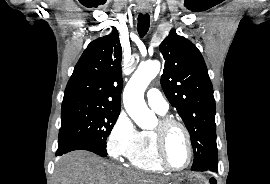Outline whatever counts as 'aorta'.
Segmentation results:
<instances>
[{"mask_svg":"<svg viewBox=\"0 0 270 184\" xmlns=\"http://www.w3.org/2000/svg\"><path fill=\"white\" fill-rule=\"evenodd\" d=\"M160 67L161 64L157 60L141 63L123 92L124 107L141 129H150L156 120L154 112L147 107L144 101V92L159 73Z\"/></svg>","mask_w":270,"mask_h":184,"instance_id":"762f6f07","label":"aorta"}]
</instances>
